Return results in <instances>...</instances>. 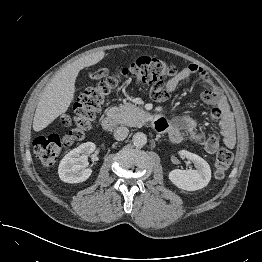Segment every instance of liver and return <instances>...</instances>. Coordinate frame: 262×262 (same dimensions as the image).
I'll return each mask as SVG.
<instances>
[{
	"label": "liver",
	"mask_w": 262,
	"mask_h": 262,
	"mask_svg": "<svg viewBox=\"0 0 262 262\" xmlns=\"http://www.w3.org/2000/svg\"><path fill=\"white\" fill-rule=\"evenodd\" d=\"M104 56L105 52L103 51L87 55L72 62L54 75L38 102L33 119L34 131L43 130L68 110L74 99L75 81L80 70L97 64Z\"/></svg>",
	"instance_id": "1"
}]
</instances>
